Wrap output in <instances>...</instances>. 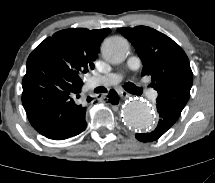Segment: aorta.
<instances>
[{
  "label": "aorta",
  "mask_w": 215,
  "mask_h": 183,
  "mask_svg": "<svg viewBox=\"0 0 215 183\" xmlns=\"http://www.w3.org/2000/svg\"><path fill=\"white\" fill-rule=\"evenodd\" d=\"M127 53V42L119 37L109 38L102 45L103 56L113 64L124 61ZM121 114L126 127L133 131L148 130L155 124L153 113L144 103L137 100L127 102Z\"/></svg>",
  "instance_id": "obj_1"
}]
</instances>
